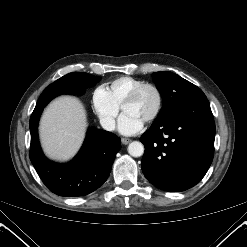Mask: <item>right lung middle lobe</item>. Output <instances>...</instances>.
<instances>
[{"mask_svg":"<svg viewBox=\"0 0 247 247\" xmlns=\"http://www.w3.org/2000/svg\"><path fill=\"white\" fill-rule=\"evenodd\" d=\"M100 80V77L93 76L87 73L72 72L66 74L65 76L50 84L48 87L45 88L44 91H83L86 88L94 86Z\"/></svg>","mask_w":247,"mask_h":247,"instance_id":"obj_1","label":"right lung middle lobe"}]
</instances>
